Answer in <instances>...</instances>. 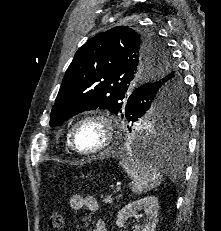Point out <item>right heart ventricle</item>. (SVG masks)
I'll return each mask as SVG.
<instances>
[{
    "instance_id": "right-heart-ventricle-1",
    "label": "right heart ventricle",
    "mask_w": 221,
    "mask_h": 231,
    "mask_svg": "<svg viewBox=\"0 0 221 231\" xmlns=\"http://www.w3.org/2000/svg\"><path fill=\"white\" fill-rule=\"evenodd\" d=\"M70 130H68L66 135V144L69 145Z\"/></svg>"
}]
</instances>
